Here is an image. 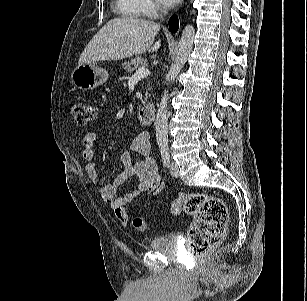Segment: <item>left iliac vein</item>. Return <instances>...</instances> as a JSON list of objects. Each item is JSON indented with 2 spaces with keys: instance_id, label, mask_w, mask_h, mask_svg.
Listing matches in <instances>:
<instances>
[{
  "instance_id": "4c4485c4",
  "label": "left iliac vein",
  "mask_w": 307,
  "mask_h": 301,
  "mask_svg": "<svg viewBox=\"0 0 307 301\" xmlns=\"http://www.w3.org/2000/svg\"><path fill=\"white\" fill-rule=\"evenodd\" d=\"M170 173L174 177H179V168L176 162H171L170 164Z\"/></svg>"
}]
</instances>
